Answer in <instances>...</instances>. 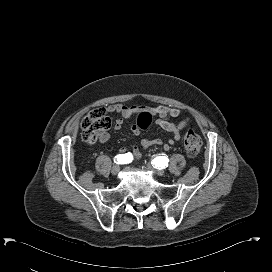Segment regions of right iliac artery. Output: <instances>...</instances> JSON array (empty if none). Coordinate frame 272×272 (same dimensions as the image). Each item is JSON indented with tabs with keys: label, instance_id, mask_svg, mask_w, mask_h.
I'll list each match as a JSON object with an SVG mask.
<instances>
[{
	"label": "right iliac artery",
	"instance_id": "obj_1",
	"mask_svg": "<svg viewBox=\"0 0 272 272\" xmlns=\"http://www.w3.org/2000/svg\"><path fill=\"white\" fill-rule=\"evenodd\" d=\"M133 160V156L130 152L126 154H119L115 157V162L117 164H127L130 163Z\"/></svg>",
	"mask_w": 272,
	"mask_h": 272
}]
</instances>
